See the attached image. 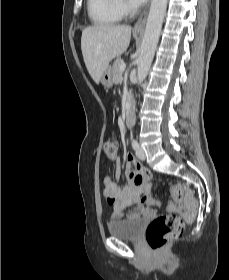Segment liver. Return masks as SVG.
<instances>
[{"label": "liver", "instance_id": "6515ba94", "mask_svg": "<svg viewBox=\"0 0 229 280\" xmlns=\"http://www.w3.org/2000/svg\"><path fill=\"white\" fill-rule=\"evenodd\" d=\"M131 27L128 25H95L82 31L81 50L86 68L99 84L110 61L122 55L129 46Z\"/></svg>", "mask_w": 229, "mask_h": 280}]
</instances>
